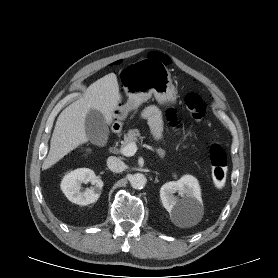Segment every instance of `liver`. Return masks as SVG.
Instances as JSON below:
<instances>
[{"instance_id":"liver-1","label":"liver","mask_w":278,"mask_h":278,"mask_svg":"<svg viewBox=\"0 0 278 278\" xmlns=\"http://www.w3.org/2000/svg\"><path fill=\"white\" fill-rule=\"evenodd\" d=\"M120 102L119 85L114 73L92 83L83 97L66 107L58 116L42 169L50 168L79 145L88 142L85 117L90 109L99 111L106 123L111 124Z\"/></svg>"}]
</instances>
